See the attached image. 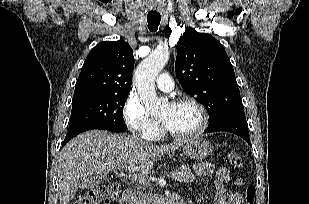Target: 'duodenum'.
<instances>
[{"label": "duodenum", "mask_w": 309, "mask_h": 204, "mask_svg": "<svg viewBox=\"0 0 309 204\" xmlns=\"http://www.w3.org/2000/svg\"><path fill=\"white\" fill-rule=\"evenodd\" d=\"M131 197H132V191L130 188H127L123 194L122 204H130Z\"/></svg>", "instance_id": "duodenum-1"}]
</instances>
